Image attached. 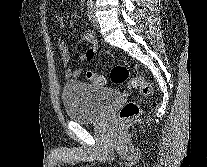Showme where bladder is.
Instances as JSON below:
<instances>
[{
	"instance_id": "1",
	"label": "bladder",
	"mask_w": 207,
	"mask_h": 167,
	"mask_svg": "<svg viewBox=\"0 0 207 167\" xmlns=\"http://www.w3.org/2000/svg\"><path fill=\"white\" fill-rule=\"evenodd\" d=\"M119 97L118 91L100 88L79 80L65 82L61 99L68 117L79 123L99 120Z\"/></svg>"
}]
</instances>
